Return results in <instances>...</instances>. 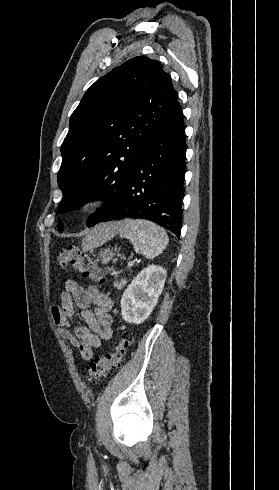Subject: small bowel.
<instances>
[{
	"label": "small bowel",
	"mask_w": 279,
	"mask_h": 490,
	"mask_svg": "<svg viewBox=\"0 0 279 490\" xmlns=\"http://www.w3.org/2000/svg\"><path fill=\"white\" fill-rule=\"evenodd\" d=\"M65 291L60 294V306L51 308V317L58 333L75 347L85 360L92 358L93 349L102 347L103 341L113 336L111 299L90 285L84 287L79 282L68 279L64 283ZM75 307L81 310L86 326H77L69 330V319L74 315Z\"/></svg>",
	"instance_id": "small-bowel-1"
}]
</instances>
